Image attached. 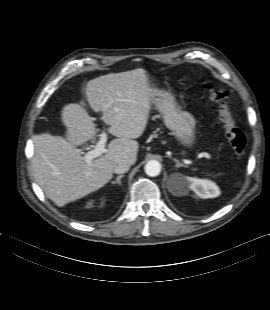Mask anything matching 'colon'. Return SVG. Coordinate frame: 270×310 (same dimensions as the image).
<instances>
[{"label": "colon", "mask_w": 270, "mask_h": 310, "mask_svg": "<svg viewBox=\"0 0 270 310\" xmlns=\"http://www.w3.org/2000/svg\"><path fill=\"white\" fill-rule=\"evenodd\" d=\"M211 100L217 105L218 117L225 136L238 156L244 155L247 146L245 133L236 125L228 103V92L224 89H212L208 86Z\"/></svg>", "instance_id": "colon-1"}]
</instances>
